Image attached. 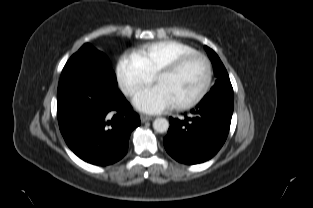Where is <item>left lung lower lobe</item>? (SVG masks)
Here are the masks:
<instances>
[{
	"instance_id": "obj_1",
	"label": "left lung lower lobe",
	"mask_w": 313,
	"mask_h": 208,
	"mask_svg": "<svg viewBox=\"0 0 313 208\" xmlns=\"http://www.w3.org/2000/svg\"><path fill=\"white\" fill-rule=\"evenodd\" d=\"M233 106V91H213L189 115L185 113L184 119L170 117V128L163 139L168 154L184 164L211 159L227 138Z\"/></svg>"
}]
</instances>
